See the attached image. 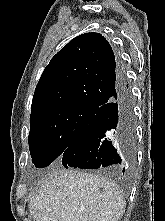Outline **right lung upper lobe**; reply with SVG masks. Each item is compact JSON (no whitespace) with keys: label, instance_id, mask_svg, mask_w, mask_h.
Listing matches in <instances>:
<instances>
[{"label":"right lung upper lobe","instance_id":"1","mask_svg":"<svg viewBox=\"0 0 165 221\" xmlns=\"http://www.w3.org/2000/svg\"><path fill=\"white\" fill-rule=\"evenodd\" d=\"M118 74L107 40L99 33L79 35L46 66L34 93L31 115L68 106L98 109L117 91Z\"/></svg>","mask_w":165,"mask_h":221}]
</instances>
